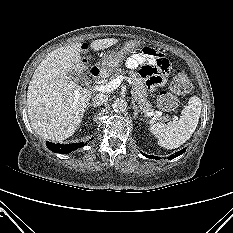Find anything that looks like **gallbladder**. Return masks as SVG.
<instances>
[{"label":"gallbladder","mask_w":233,"mask_h":233,"mask_svg":"<svg viewBox=\"0 0 233 233\" xmlns=\"http://www.w3.org/2000/svg\"><path fill=\"white\" fill-rule=\"evenodd\" d=\"M72 75V77L75 79L76 77H78V76H76L74 73L73 74H71Z\"/></svg>","instance_id":"bac80fb5"}]
</instances>
